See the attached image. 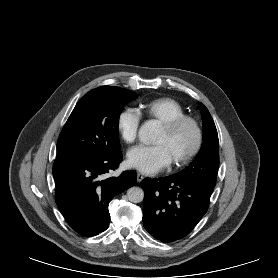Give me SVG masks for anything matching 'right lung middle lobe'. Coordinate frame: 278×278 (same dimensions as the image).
<instances>
[{
  "instance_id": "obj_1",
  "label": "right lung middle lobe",
  "mask_w": 278,
  "mask_h": 278,
  "mask_svg": "<svg viewBox=\"0 0 278 278\" xmlns=\"http://www.w3.org/2000/svg\"><path fill=\"white\" fill-rule=\"evenodd\" d=\"M136 97L132 91L107 86L84 95L60 133L55 162L109 156L119 152L120 112L125 104Z\"/></svg>"
}]
</instances>
